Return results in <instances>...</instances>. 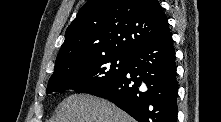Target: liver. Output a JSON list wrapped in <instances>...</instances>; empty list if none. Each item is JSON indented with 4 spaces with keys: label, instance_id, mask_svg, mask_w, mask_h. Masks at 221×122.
I'll return each mask as SVG.
<instances>
[{
    "label": "liver",
    "instance_id": "1",
    "mask_svg": "<svg viewBox=\"0 0 221 122\" xmlns=\"http://www.w3.org/2000/svg\"><path fill=\"white\" fill-rule=\"evenodd\" d=\"M56 122H134V119L108 100L73 94L60 103Z\"/></svg>",
    "mask_w": 221,
    "mask_h": 122
}]
</instances>
